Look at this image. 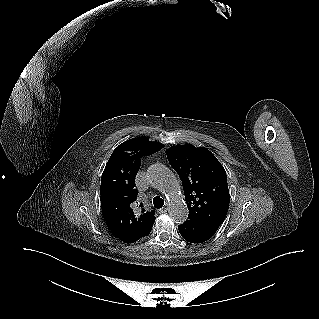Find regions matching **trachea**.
Instances as JSON below:
<instances>
[{
    "label": "trachea",
    "instance_id": "obj_1",
    "mask_svg": "<svg viewBox=\"0 0 319 319\" xmlns=\"http://www.w3.org/2000/svg\"><path fill=\"white\" fill-rule=\"evenodd\" d=\"M153 204H154L155 208L160 209L164 205V200L162 198H160L159 196H156L153 199Z\"/></svg>",
    "mask_w": 319,
    "mask_h": 319
}]
</instances>
